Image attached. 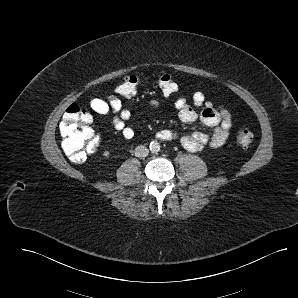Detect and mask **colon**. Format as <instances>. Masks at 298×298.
<instances>
[{"mask_svg":"<svg viewBox=\"0 0 298 298\" xmlns=\"http://www.w3.org/2000/svg\"><path fill=\"white\" fill-rule=\"evenodd\" d=\"M142 83L141 76H127L115 89V93L125 97H134ZM157 85L164 96H170L177 91V84L167 72H161ZM62 148L74 163H83L88 155L93 154L99 146L100 139L91 127L90 116L77 104H71L65 110L61 123ZM254 134L248 127H240L236 134V143L242 148L251 146Z\"/></svg>","mask_w":298,"mask_h":298,"instance_id":"1","label":"colon"}]
</instances>
